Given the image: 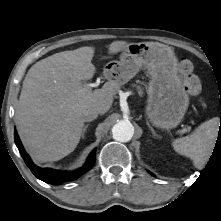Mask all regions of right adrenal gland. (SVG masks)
<instances>
[{
    "label": "right adrenal gland",
    "mask_w": 221,
    "mask_h": 221,
    "mask_svg": "<svg viewBox=\"0 0 221 221\" xmlns=\"http://www.w3.org/2000/svg\"><path fill=\"white\" fill-rule=\"evenodd\" d=\"M88 124L84 127V131H83V135H82V138H84V134H85V132H86V130H87V128H88Z\"/></svg>",
    "instance_id": "obj_1"
}]
</instances>
